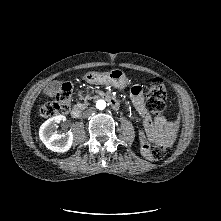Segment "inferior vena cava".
I'll use <instances>...</instances> for the list:
<instances>
[{"instance_id":"1","label":"inferior vena cava","mask_w":221,"mask_h":221,"mask_svg":"<svg viewBox=\"0 0 221 221\" xmlns=\"http://www.w3.org/2000/svg\"><path fill=\"white\" fill-rule=\"evenodd\" d=\"M94 112H95V108L94 107H90V108H88L87 110H85L83 112V116L84 117H89V116L93 115Z\"/></svg>"}]
</instances>
